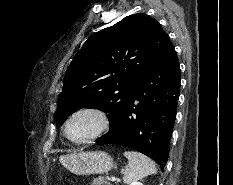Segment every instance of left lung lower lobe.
Returning <instances> with one entry per match:
<instances>
[{
    "instance_id": "obj_1",
    "label": "left lung lower lobe",
    "mask_w": 233,
    "mask_h": 185,
    "mask_svg": "<svg viewBox=\"0 0 233 185\" xmlns=\"http://www.w3.org/2000/svg\"><path fill=\"white\" fill-rule=\"evenodd\" d=\"M180 79L178 58L169 41L136 83L133 97L118 122L96 142L135 149L152 158L163 171L177 112Z\"/></svg>"
}]
</instances>
